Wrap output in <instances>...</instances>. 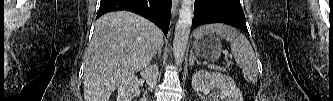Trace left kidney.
<instances>
[{"label": "left kidney", "mask_w": 333, "mask_h": 101, "mask_svg": "<svg viewBox=\"0 0 333 101\" xmlns=\"http://www.w3.org/2000/svg\"><path fill=\"white\" fill-rule=\"evenodd\" d=\"M192 88L195 91L220 89V101H243L234 79L222 73L196 71L192 76Z\"/></svg>", "instance_id": "1"}]
</instances>
